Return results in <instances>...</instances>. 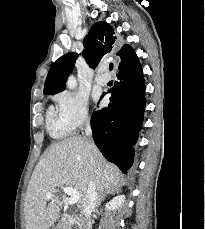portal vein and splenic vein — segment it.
Masks as SVG:
<instances>
[{
    "mask_svg": "<svg viewBox=\"0 0 205 229\" xmlns=\"http://www.w3.org/2000/svg\"><path fill=\"white\" fill-rule=\"evenodd\" d=\"M60 189L65 194H67L69 196L68 197V204L69 205L75 204V203H77L79 201L80 194L76 189H74L72 187H68V186H61ZM46 197H47V199H51L53 197V193L52 192H48L46 194Z\"/></svg>",
    "mask_w": 205,
    "mask_h": 229,
    "instance_id": "18ae733b",
    "label": "portal vein and splenic vein"
}]
</instances>
